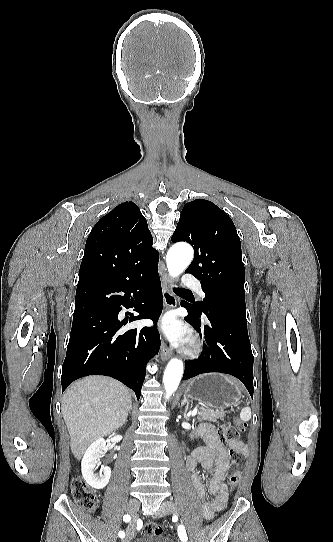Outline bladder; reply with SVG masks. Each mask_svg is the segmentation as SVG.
Returning <instances> with one entry per match:
<instances>
[{
  "label": "bladder",
  "instance_id": "obj_1",
  "mask_svg": "<svg viewBox=\"0 0 333 542\" xmlns=\"http://www.w3.org/2000/svg\"><path fill=\"white\" fill-rule=\"evenodd\" d=\"M134 542H174L171 538L161 534H148L144 535Z\"/></svg>",
  "mask_w": 333,
  "mask_h": 542
}]
</instances>
